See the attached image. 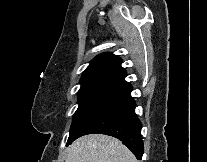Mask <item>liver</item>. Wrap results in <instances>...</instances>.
I'll return each instance as SVG.
<instances>
[{"label":"liver","mask_w":207,"mask_h":162,"mask_svg":"<svg viewBox=\"0 0 207 162\" xmlns=\"http://www.w3.org/2000/svg\"><path fill=\"white\" fill-rule=\"evenodd\" d=\"M66 162H138L118 139L91 134L75 140L69 147Z\"/></svg>","instance_id":"obj_1"}]
</instances>
